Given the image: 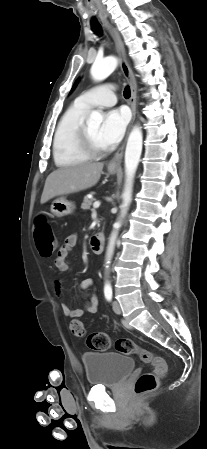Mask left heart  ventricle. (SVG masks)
I'll return each mask as SVG.
<instances>
[{
  "mask_svg": "<svg viewBox=\"0 0 207 449\" xmlns=\"http://www.w3.org/2000/svg\"><path fill=\"white\" fill-rule=\"evenodd\" d=\"M86 128L93 143L98 147H105V145L99 138L100 124L99 123L86 124Z\"/></svg>",
  "mask_w": 207,
  "mask_h": 449,
  "instance_id": "b2bd125f",
  "label": "left heart ventricle"
}]
</instances>
